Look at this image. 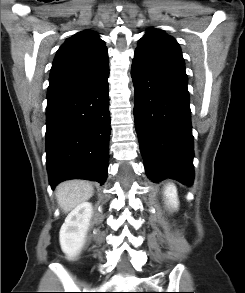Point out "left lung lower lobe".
Segmentation results:
<instances>
[{"mask_svg": "<svg viewBox=\"0 0 245 293\" xmlns=\"http://www.w3.org/2000/svg\"><path fill=\"white\" fill-rule=\"evenodd\" d=\"M131 76L135 127L147 176L192 185L193 136L185 70L135 51Z\"/></svg>", "mask_w": 245, "mask_h": 293, "instance_id": "left-lung-lower-lobe-1", "label": "left lung lower lobe"}]
</instances>
